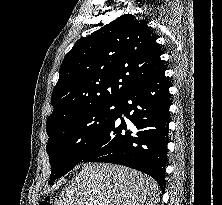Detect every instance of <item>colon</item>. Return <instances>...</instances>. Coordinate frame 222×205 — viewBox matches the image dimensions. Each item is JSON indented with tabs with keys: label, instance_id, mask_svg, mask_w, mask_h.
<instances>
[{
	"label": "colon",
	"instance_id": "obj_1",
	"mask_svg": "<svg viewBox=\"0 0 222 205\" xmlns=\"http://www.w3.org/2000/svg\"><path fill=\"white\" fill-rule=\"evenodd\" d=\"M41 205H51L50 202H43Z\"/></svg>",
	"mask_w": 222,
	"mask_h": 205
}]
</instances>
